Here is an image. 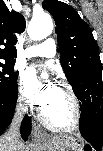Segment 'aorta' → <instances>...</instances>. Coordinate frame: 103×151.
<instances>
[{
    "instance_id": "762f6f07",
    "label": "aorta",
    "mask_w": 103,
    "mask_h": 151,
    "mask_svg": "<svg viewBox=\"0 0 103 151\" xmlns=\"http://www.w3.org/2000/svg\"><path fill=\"white\" fill-rule=\"evenodd\" d=\"M53 30L52 18L48 13L35 16L29 22L27 32L32 40H42L49 36Z\"/></svg>"
}]
</instances>
